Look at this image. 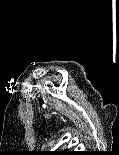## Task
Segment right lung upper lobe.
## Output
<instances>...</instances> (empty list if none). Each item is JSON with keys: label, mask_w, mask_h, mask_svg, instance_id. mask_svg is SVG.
<instances>
[{"label": "right lung upper lobe", "mask_w": 119, "mask_h": 155, "mask_svg": "<svg viewBox=\"0 0 119 155\" xmlns=\"http://www.w3.org/2000/svg\"><path fill=\"white\" fill-rule=\"evenodd\" d=\"M69 151L63 150V151H45V155H67Z\"/></svg>", "instance_id": "right-lung-upper-lobe-1"}]
</instances>
